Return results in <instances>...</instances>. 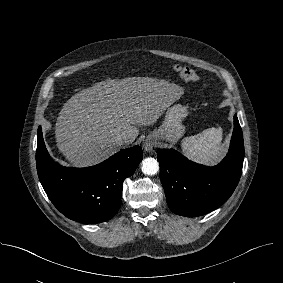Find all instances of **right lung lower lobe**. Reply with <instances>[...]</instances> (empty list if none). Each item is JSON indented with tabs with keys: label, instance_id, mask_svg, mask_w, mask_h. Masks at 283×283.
I'll return each instance as SVG.
<instances>
[{
	"label": "right lung lower lobe",
	"instance_id": "1",
	"mask_svg": "<svg viewBox=\"0 0 283 283\" xmlns=\"http://www.w3.org/2000/svg\"><path fill=\"white\" fill-rule=\"evenodd\" d=\"M143 152L140 146L124 149L104 162L87 168H67L55 163L38 128L36 164L39 180L51 202L66 217L86 224L111 219L121 205L122 185Z\"/></svg>",
	"mask_w": 283,
	"mask_h": 283
}]
</instances>
